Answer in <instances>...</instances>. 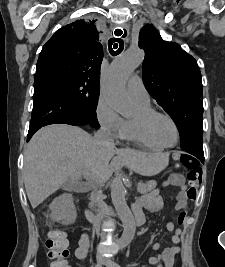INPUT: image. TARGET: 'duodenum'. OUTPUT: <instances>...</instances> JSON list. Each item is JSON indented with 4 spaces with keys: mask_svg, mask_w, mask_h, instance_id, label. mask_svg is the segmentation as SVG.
<instances>
[{
    "mask_svg": "<svg viewBox=\"0 0 225 267\" xmlns=\"http://www.w3.org/2000/svg\"><path fill=\"white\" fill-rule=\"evenodd\" d=\"M134 214L135 217L134 219L130 222V225L135 227V226H140L143 224L144 222V217L142 215V213L138 212L135 208H134ZM86 216L88 219L92 220L94 219V214L91 212V210H87L86 211Z\"/></svg>",
    "mask_w": 225,
    "mask_h": 267,
    "instance_id": "obj_1",
    "label": "duodenum"
}]
</instances>
